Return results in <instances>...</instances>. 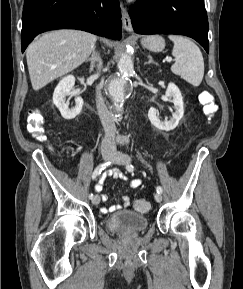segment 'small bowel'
<instances>
[{
    "mask_svg": "<svg viewBox=\"0 0 243 289\" xmlns=\"http://www.w3.org/2000/svg\"><path fill=\"white\" fill-rule=\"evenodd\" d=\"M109 176L114 178V179H120V180H127V177L126 175L119 169L115 168V169H112L110 172H109ZM142 185V180L141 179H132L129 181V187L130 188H137L139 186ZM103 188V184L102 183H99L95 186V189L97 191H101ZM108 199V196L107 195H102V200L103 201H106ZM122 200H123V205H113V206H110L108 208H105L103 207L101 209V211L103 213H112V212H115L119 209H121L122 207H128L130 205V197L127 195V194H124L122 196Z\"/></svg>",
    "mask_w": 243,
    "mask_h": 289,
    "instance_id": "obj_1",
    "label": "small bowel"
}]
</instances>
